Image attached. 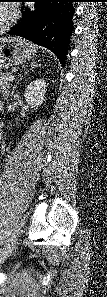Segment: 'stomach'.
<instances>
[{"instance_id":"stomach-1","label":"stomach","mask_w":107,"mask_h":297,"mask_svg":"<svg viewBox=\"0 0 107 297\" xmlns=\"http://www.w3.org/2000/svg\"><path fill=\"white\" fill-rule=\"evenodd\" d=\"M33 54L32 47L20 39H6L0 45V65L10 67L29 59Z\"/></svg>"}]
</instances>
